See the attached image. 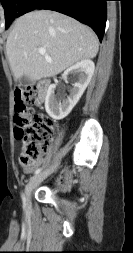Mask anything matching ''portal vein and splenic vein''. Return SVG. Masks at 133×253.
Wrapping results in <instances>:
<instances>
[{
  "label": "portal vein and splenic vein",
  "instance_id": "obj_1",
  "mask_svg": "<svg viewBox=\"0 0 133 253\" xmlns=\"http://www.w3.org/2000/svg\"><path fill=\"white\" fill-rule=\"evenodd\" d=\"M38 52L41 54V55H44L46 60L48 62H52L51 58L46 54V50L44 48H39L38 49Z\"/></svg>",
  "mask_w": 133,
  "mask_h": 253
}]
</instances>
